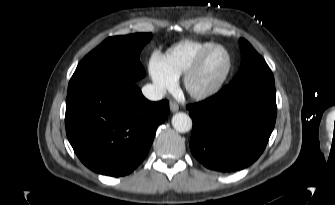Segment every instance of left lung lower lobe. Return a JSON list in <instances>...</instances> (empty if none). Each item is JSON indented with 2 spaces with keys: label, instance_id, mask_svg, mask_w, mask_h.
<instances>
[{
  "label": "left lung lower lobe",
  "instance_id": "1",
  "mask_svg": "<svg viewBox=\"0 0 335 205\" xmlns=\"http://www.w3.org/2000/svg\"><path fill=\"white\" fill-rule=\"evenodd\" d=\"M187 109L193 119V156L208 169L234 172L264 151L276 122V89L261 81L230 82Z\"/></svg>",
  "mask_w": 335,
  "mask_h": 205
}]
</instances>
